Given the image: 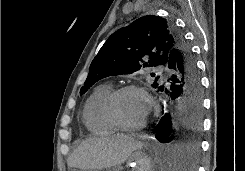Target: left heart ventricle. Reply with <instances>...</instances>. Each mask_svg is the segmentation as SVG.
<instances>
[{
  "label": "left heart ventricle",
  "mask_w": 245,
  "mask_h": 171,
  "mask_svg": "<svg viewBox=\"0 0 245 171\" xmlns=\"http://www.w3.org/2000/svg\"><path fill=\"white\" fill-rule=\"evenodd\" d=\"M147 101L137 92H127L118 101V113L123 122L135 125L144 120L147 114Z\"/></svg>",
  "instance_id": "obj_1"
}]
</instances>
